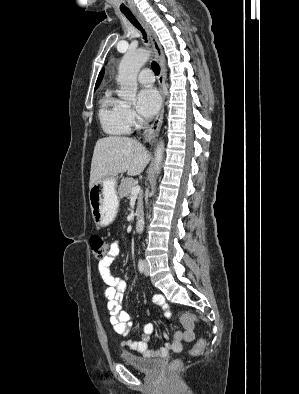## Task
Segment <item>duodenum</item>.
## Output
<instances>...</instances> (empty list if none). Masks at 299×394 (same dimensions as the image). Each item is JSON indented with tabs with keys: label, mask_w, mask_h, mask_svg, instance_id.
Wrapping results in <instances>:
<instances>
[{
	"label": "duodenum",
	"mask_w": 299,
	"mask_h": 394,
	"mask_svg": "<svg viewBox=\"0 0 299 394\" xmlns=\"http://www.w3.org/2000/svg\"><path fill=\"white\" fill-rule=\"evenodd\" d=\"M135 230L137 233L142 232L143 230V221L141 219H138L135 223Z\"/></svg>",
	"instance_id": "duodenum-1"
}]
</instances>
